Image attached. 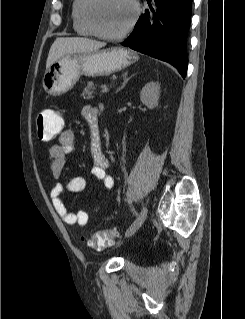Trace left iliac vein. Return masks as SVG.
<instances>
[{
	"mask_svg": "<svg viewBox=\"0 0 245 319\" xmlns=\"http://www.w3.org/2000/svg\"><path fill=\"white\" fill-rule=\"evenodd\" d=\"M147 216H148V208L146 206H143L139 216L136 219V221L127 230L126 236L133 235L136 232V230H138V228L145 222V220L147 219Z\"/></svg>",
	"mask_w": 245,
	"mask_h": 319,
	"instance_id": "obj_1",
	"label": "left iliac vein"
}]
</instances>
